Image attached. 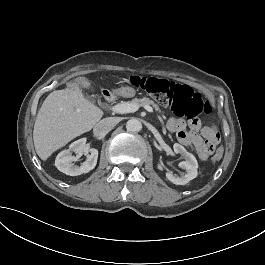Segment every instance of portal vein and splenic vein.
<instances>
[{
  "instance_id": "18ae733b",
  "label": "portal vein and splenic vein",
  "mask_w": 265,
  "mask_h": 265,
  "mask_svg": "<svg viewBox=\"0 0 265 265\" xmlns=\"http://www.w3.org/2000/svg\"><path fill=\"white\" fill-rule=\"evenodd\" d=\"M147 111L149 112H153L152 107L150 106H145L144 107ZM139 109V106L133 103H128V102H124V103H120L117 104L115 106H113L112 110L116 113H134Z\"/></svg>"
}]
</instances>
